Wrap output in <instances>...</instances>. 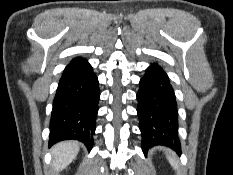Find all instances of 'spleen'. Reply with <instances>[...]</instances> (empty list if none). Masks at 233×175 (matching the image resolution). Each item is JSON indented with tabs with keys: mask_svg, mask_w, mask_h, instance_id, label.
Instances as JSON below:
<instances>
[{
	"mask_svg": "<svg viewBox=\"0 0 233 175\" xmlns=\"http://www.w3.org/2000/svg\"><path fill=\"white\" fill-rule=\"evenodd\" d=\"M167 158L171 166L176 170L178 168V162L175 159V155L172 153L169 156H167Z\"/></svg>",
	"mask_w": 233,
	"mask_h": 175,
	"instance_id": "1",
	"label": "spleen"
}]
</instances>
